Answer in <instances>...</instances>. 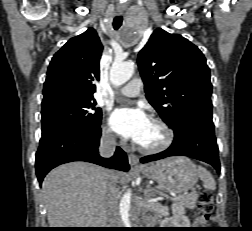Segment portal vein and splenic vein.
Listing matches in <instances>:
<instances>
[{
    "label": "portal vein and splenic vein",
    "mask_w": 252,
    "mask_h": 231,
    "mask_svg": "<svg viewBox=\"0 0 252 231\" xmlns=\"http://www.w3.org/2000/svg\"><path fill=\"white\" fill-rule=\"evenodd\" d=\"M184 195L183 194H172V198L175 199H180L182 198Z\"/></svg>",
    "instance_id": "obj_1"
}]
</instances>
